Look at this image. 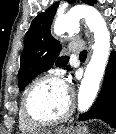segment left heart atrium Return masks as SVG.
Masks as SVG:
<instances>
[{"label": "left heart atrium", "mask_w": 116, "mask_h": 134, "mask_svg": "<svg viewBox=\"0 0 116 134\" xmlns=\"http://www.w3.org/2000/svg\"><path fill=\"white\" fill-rule=\"evenodd\" d=\"M64 87H65V90L69 93V87L67 84L63 83Z\"/></svg>", "instance_id": "1"}]
</instances>
